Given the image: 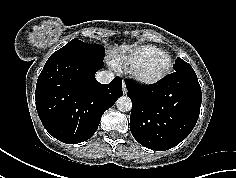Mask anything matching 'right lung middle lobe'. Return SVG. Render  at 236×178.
<instances>
[{
	"mask_svg": "<svg viewBox=\"0 0 236 178\" xmlns=\"http://www.w3.org/2000/svg\"><path fill=\"white\" fill-rule=\"evenodd\" d=\"M77 49H86V50L94 51V52H97V53L104 56V47L103 46H100L98 44H87L82 41H79L78 38L71 40L64 47H62L61 49L57 50L54 53H61V52H66V51H70V50H77Z\"/></svg>",
	"mask_w": 236,
	"mask_h": 178,
	"instance_id": "1",
	"label": "right lung middle lobe"
}]
</instances>
